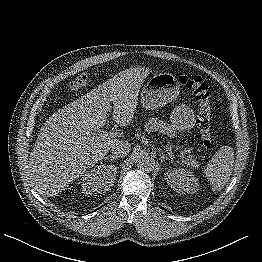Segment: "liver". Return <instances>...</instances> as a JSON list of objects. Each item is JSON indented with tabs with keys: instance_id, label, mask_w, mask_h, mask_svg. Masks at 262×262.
Masks as SVG:
<instances>
[{
	"instance_id": "liver-1",
	"label": "liver",
	"mask_w": 262,
	"mask_h": 262,
	"mask_svg": "<svg viewBox=\"0 0 262 262\" xmlns=\"http://www.w3.org/2000/svg\"><path fill=\"white\" fill-rule=\"evenodd\" d=\"M148 68L122 71L55 112L41 128L30 154L27 176L40 195L53 196L102 160L123 136L96 140L114 105V121L128 125L137 107L139 89Z\"/></svg>"
}]
</instances>
